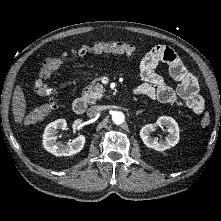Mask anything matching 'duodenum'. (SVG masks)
<instances>
[{
    "instance_id": "1",
    "label": "duodenum",
    "mask_w": 221,
    "mask_h": 221,
    "mask_svg": "<svg viewBox=\"0 0 221 221\" xmlns=\"http://www.w3.org/2000/svg\"><path fill=\"white\" fill-rule=\"evenodd\" d=\"M72 108L76 114H82L87 108V103L85 99L78 97L73 101Z\"/></svg>"
}]
</instances>
